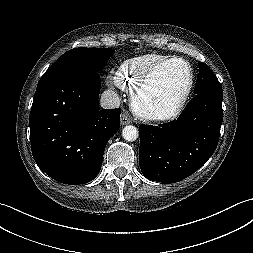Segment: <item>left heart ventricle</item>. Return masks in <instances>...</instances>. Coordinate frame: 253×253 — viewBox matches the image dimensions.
I'll list each match as a JSON object with an SVG mask.
<instances>
[{"label":"left heart ventricle","mask_w":253,"mask_h":253,"mask_svg":"<svg viewBox=\"0 0 253 253\" xmlns=\"http://www.w3.org/2000/svg\"><path fill=\"white\" fill-rule=\"evenodd\" d=\"M189 81V69L182 62H171L159 69L149 82L143 103L157 112H168L185 91Z\"/></svg>","instance_id":"obj_1"}]
</instances>
